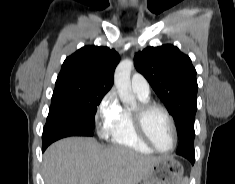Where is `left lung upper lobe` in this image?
I'll return each instance as SVG.
<instances>
[{
	"label": "left lung upper lobe",
	"instance_id": "obj_1",
	"mask_svg": "<svg viewBox=\"0 0 235 184\" xmlns=\"http://www.w3.org/2000/svg\"><path fill=\"white\" fill-rule=\"evenodd\" d=\"M134 64L175 120L179 136L176 153L195 155L194 120L198 85L196 70L189 56L176 46L165 44L139 51L134 57Z\"/></svg>",
	"mask_w": 235,
	"mask_h": 184
}]
</instances>
